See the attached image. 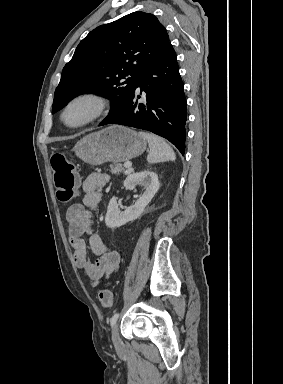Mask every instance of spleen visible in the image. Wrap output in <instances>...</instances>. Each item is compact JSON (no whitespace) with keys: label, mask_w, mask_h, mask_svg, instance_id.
Segmentation results:
<instances>
[{"label":"spleen","mask_w":283,"mask_h":384,"mask_svg":"<svg viewBox=\"0 0 283 384\" xmlns=\"http://www.w3.org/2000/svg\"><path fill=\"white\" fill-rule=\"evenodd\" d=\"M140 136L147 140L150 148V152L147 156V160L149 164H158V162H174L176 160V156L164 142L163 138H158V136H154V134H146V132H139Z\"/></svg>","instance_id":"spleen-1"}]
</instances>
